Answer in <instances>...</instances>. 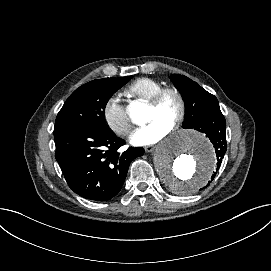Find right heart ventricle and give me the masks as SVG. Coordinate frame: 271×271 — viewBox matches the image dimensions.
Segmentation results:
<instances>
[{"instance_id": "right-heart-ventricle-1", "label": "right heart ventricle", "mask_w": 271, "mask_h": 271, "mask_svg": "<svg viewBox=\"0 0 271 271\" xmlns=\"http://www.w3.org/2000/svg\"><path fill=\"white\" fill-rule=\"evenodd\" d=\"M162 87L163 84L160 81L150 77H142L132 82L125 91L137 100L150 102Z\"/></svg>"}]
</instances>
